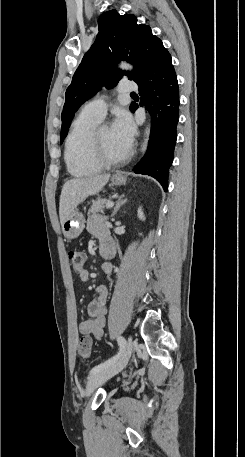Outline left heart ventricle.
Masks as SVG:
<instances>
[{
    "label": "left heart ventricle",
    "instance_id": "left-heart-ventricle-1",
    "mask_svg": "<svg viewBox=\"0 0 245 457\" xmlns=\"http://www.w3.org/2000/svg\"><path fill=\"white\" fill-rule=\"evenodd\" d=\"M128 149L121 144L108 127H102L95 138L94 153L98 158L118 157Z\"/></svg>",
    "mask_w": 245,
    "mask_h": 457
}]
</instances>
